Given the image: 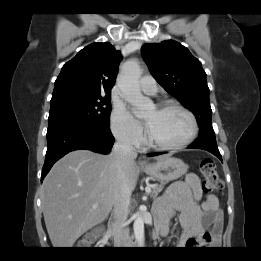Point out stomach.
<instances>
[{
    "mask_svg": "<svg viewBox=\"0 0 261 261\" xmlns=\"http://www.w3.org/2000/svg\"><path fill=\"white\" fill-rule=\"evenodd\" d=\"M188 166L179 158L165 155L157 162L144 167V172L161 182H170L183 176Z\"/></svg>",
    "mask_w": 261,
    "mask_h": 261,
    "instance_id": "obj_1",
    "label": "stomach"
}]
</instances>
